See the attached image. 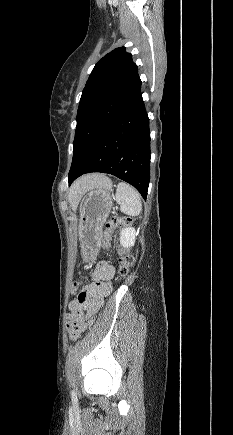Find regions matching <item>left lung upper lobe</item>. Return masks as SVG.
I'll return each mask as SVG.
<instances>
[{
    "instance_id": "obj_1",
    "label": "left lung upper lobe",
    "mask_w": 233,
    "mask_h": 435,
    "mask_svg": "<svg viewBox=\"0 0 233 435\" xmlns=\"http://www.w3.org/2000/svg\"><path fill=\"white\" fill-rule=\"evenodd\" d=\"M140 97L138 67L125 47L116 48L100 59L92 70L80 99L72 165L103 130Z\"/></svg>"
}]
</instances>
